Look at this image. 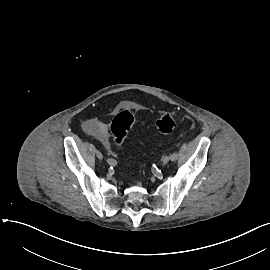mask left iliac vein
Segmentation results:
<instances>
[{"label": "left iliac vein", "instance_id": "4c4485c4", "mask_svg": "<svg viewBox=\"0 0 270 270\" xmlns=\"http://www.w3.org/2000/svg\"><path fill=\"white\" fill-rule=\"evenodd\" d=\"M169 160H170V157L169 156H165L163 158V160H162V163L165 165V164H167L169 162Z\"/></svg>", "mask_w": 270, "mask_h": 270}]
</instances>
